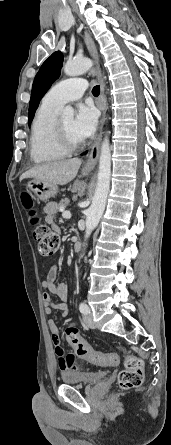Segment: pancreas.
I'll return each mask as SVG.
<instances>
[{"label": "pancreas", "instance_id": "1", "mask_svg": "<svg viewBox=\"0 0 171 445\" xmlns=\"http://www.w3.org/2000/svg\"><path fill=\"white\" fill-rule=\"evenodd\" d=\"M69 204V199L68 198H64L62 199L56 206H57V210H59L60 208H65L66 206H68Z\"/></svg>", "mask_w": 171, "mask_h": 445}]
</instances>
